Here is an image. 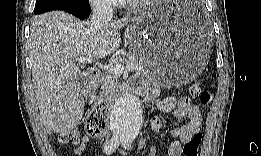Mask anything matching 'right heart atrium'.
Masks as SVG:
<instances>
[{"mask_svg":"<svg viewBox=\"0 0 261 156\" xmlns=\"http://www.w3.org/2000/svg\"><path fill=\"white\" fill-rule=\"evenodd\" d=\"M98 6H102L104 8H111L113 6V1H105L97 3Z\"/></svg>","mask_w":261,"mask_h":156,"instance_id":"1","label":"right heart atrium"}]
</instances>
